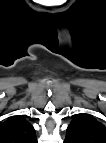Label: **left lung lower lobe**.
Listing matches in <instances>:
<instances>
[{"instance_id": "left-lung-lower-lobe-1", "label": "left lung lower lobe", "mask_w": 106, "mask_h": 143, "mask_svg": "<svg viewBox=\"0 0 106 143\" xmlns=\"http://www.w3.org/2000/svg\"><path fill=\"white\" fill-rule=\"evenodd\" d=\"M65 143H76L68 134H66Z\"/></svg>"}]
</instances>
